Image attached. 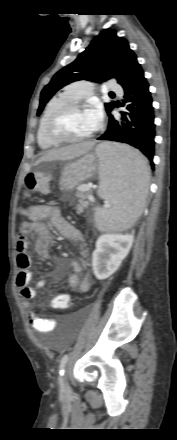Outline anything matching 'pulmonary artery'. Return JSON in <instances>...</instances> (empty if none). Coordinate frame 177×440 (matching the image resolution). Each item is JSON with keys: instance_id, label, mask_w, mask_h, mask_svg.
I'll use <instances>...</instances> for the list:
<instances>
[{"instance_id": "obj_1", "label": "pulmonary artery", "mask_w": 177, "mask_h": 440, "mask_svg": "<svg viewBox=\"0 0 177 440\" xmlns=\"http://www.w3.org/2000/svg\"><path fill=\"white\" fill-rule=\"evenodd\" d=\"M108 88L114 93H122V88L115 82H109ZM67 91L75 100L83 99L92 94V84L87 81L78 82L71 85Z\"/></svg>"}]
</instances>
